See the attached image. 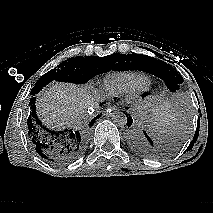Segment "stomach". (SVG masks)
<instances>
[{"label": "stomach", "instance_id": "stomach-1", "mask_svg": "<svg viewBox=\"0 0 213 213\" xmlns=\"http://www.w3.org/2000/svg\"><path fill=\"white\" fill-rule=\"evenodd\" d=\"M136 115L140 122L151 124L157 115V108L153 104H140L136 108Z\"/></svg>", "mask_w": 213, "mask_h": 213}]
</instances>
